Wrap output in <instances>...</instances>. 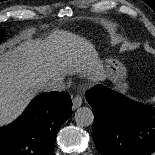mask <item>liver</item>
I'll use <instances>...</instances> for the list:
<instances>
[{
	"label": "liver",
	"instance_id": "obj_1",
	"mask_svg": "<svg viewBox=\"0 0 155 155\" xmlns=\"http://www.w3.org/2000/svg\"><path fill=\"white\" fill-rule=\"evenodd\" d=\"M69 72L106 79L93 45L67 31L55 30L44 42L27 39L0 52V126L16 119L48 81H61Z\"/></svg>",
	"mask_w": 155,
	"mask_h": 155
}]
</instances>
